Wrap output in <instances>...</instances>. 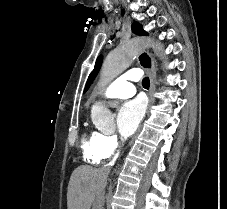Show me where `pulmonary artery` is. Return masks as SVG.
Instances as JSON below:
<instances>
[{
    "label": "pulmonary artery",
    "mask_w": 227,
    "mask_h": 209,
    "mask_svg": "<svg viewBox=\"0 0 227 209\" xmlns=\"http://www.w3.org/2000/svg\"><path fill=\"white\" fill-rule=\"evenodd\" d=\"M136 71H126V73H120L119 74V79H116L113 81L109 87L105 90L103 93V97L108 99V98H114V97H119V98H128L131 97L135 94L134 90V84H131L132 82L134 83H139L140 79L136 78H144L145 74L141 73L140 69H137ZM126 78H135V79H126Z\"/></svg>",
    "instance_id": "e3ab8cb5"
}]
</instances>
